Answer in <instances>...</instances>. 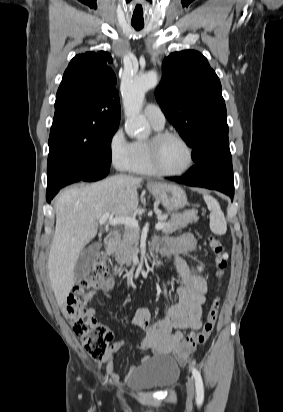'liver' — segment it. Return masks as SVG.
Returning a JSON list of instances; mask_svg holds the SVG:
<instances>
[{"mask_svg":"<svg viewBox=\"0 0 283 412\" xmlns=\"http://www.w3.org/2000/svg\"><path fill=\"white\" fill-rule=\"evenodd\" d=\"M142 179L126 175L65 190L55 201L56 227L48 271L56 301L62 306L74 283V268L85 247L96 236L97 221L109 212L127 217L138 207L137 187Z\"/></svg>","mask_w":283,"mask_h":412,"instance_id":"6515ba94","label":"liver"}]
</instances>
